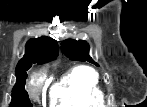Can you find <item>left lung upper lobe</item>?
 Here are the masks:
<instances>
[{
	"label": "left lung upper lobe",
	"instance_id": "1",
	"mask_svg": "<svg viewBox=\"0 0 147 107\" xmlns=\"http://www.w3.org/2000/svg\"><path fill=\"white\" fill-rule=\"evenodd\" d=\"M61 48L65 55L71 60L88 61L95 64L96 66H99L89 56V45L86 41L67 39L61 42Z\"/></svg>",
	"mask_w": 147,
	"mask_h": 107
}]
</instances>
